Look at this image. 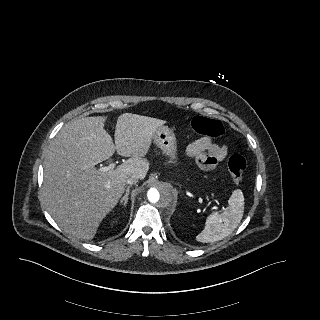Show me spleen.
Returning <instances> with one entry per match:
<instances>
[{"mask_svg": "<svg viewBox=\"0 0 320 320\" xmlns=\"http://www.w3.org/2000/svg\"><path fill=\"white\" fill-rule=\"evenodd\" d=\"M228 205L223 213L207 217L204 229L196 236L197 241L209 243L222 240L238 227L244 214V196L240 189L233 191Z\"/></svg>", "mask_w": 320, "mask_h": 320, "instance_id": "obj_1", "label": "spleen"}]
</instances>
